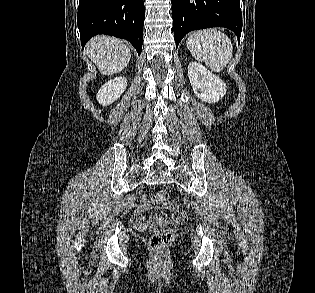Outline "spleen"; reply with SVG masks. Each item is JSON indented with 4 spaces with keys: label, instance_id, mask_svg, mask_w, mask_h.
<instances>
[{
    "label": "spleen",
    "instance_id": "obj_1",
    "mask_svg": "<svg viewBox=\"0 0 315 293\" xmlns=\"http://www.w3.org/2000/svg\"><path fill=\"white\" fill-rule=\"evenodd\" d=\"M186 45L196 60L204 62L214 72L222 71L233 53L231 40L217 29H205L192 33Z\"/></svg>",
    "mask_w": 315,
    "mask_h": 293
}]
</instances>
